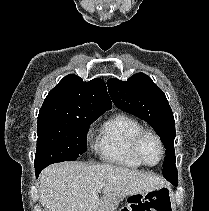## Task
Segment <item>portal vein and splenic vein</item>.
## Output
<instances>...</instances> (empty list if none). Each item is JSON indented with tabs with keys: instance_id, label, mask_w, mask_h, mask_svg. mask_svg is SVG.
<instances>
[{
	"instance_id": "1",
	"label": "portal vein and splenic vein",
	"mask_w": 209,
	"mask_h": 211,
	"mask_svg": "<svg viewBox=\"0 0 209 211\" xmlns=\"http://www.w3.org/2000/svg\"><path fill=\"white\" fill-rule=\"evenodd\" d=\"M103 186V184L101 182H97V187L101 188Z\"/></svg>"
}]
</instances>
